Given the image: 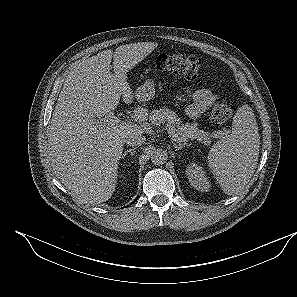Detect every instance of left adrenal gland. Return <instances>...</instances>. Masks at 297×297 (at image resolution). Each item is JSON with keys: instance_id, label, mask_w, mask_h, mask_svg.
I'll return each mask as SVG.
<instances>
[{"instance_id": "left-adrenal-gland-1", "label": "left adrenal gland", "mask_w": 297, "mask_h": 297, "mask_svg": "<svg viewBox=\"0 0 297 297\" xmlns=\"http://www.w3.org/2000/svg\"><path fill=\"white\" fill-rule=\"evenodd\" d=\"M173 146H174V148H175V151H179V150H181L183 147L187 146V144H186V143H183V144H179V145H177L176 143H173Z\"/></svg>"}]
</instances>
